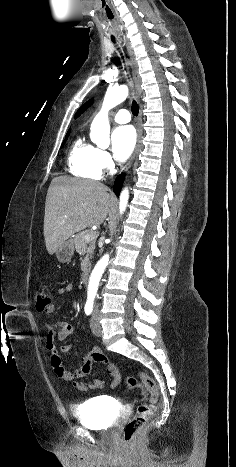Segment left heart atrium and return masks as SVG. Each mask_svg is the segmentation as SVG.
<instances>
[{"label": "left heart atrium", "mask_w": 236, "mask_h": 467, "mask_svg": "<svg viewBox=\"0 0 236 467\" xmlns=\"http://www.w3.org/2000/svg\"><path fill=\"white\" fill-rule=\"evenodd\" d=\"M111 142L114 157L120 162L125 161L135 147L134 129L129 125L116 127L112 132Z\"/></svg>", "instance_id": "1"}]
</instances>
